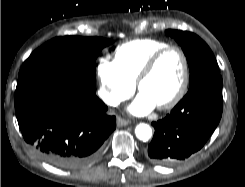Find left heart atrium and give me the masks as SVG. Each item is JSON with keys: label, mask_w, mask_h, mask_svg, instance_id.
Here are the masks:
<instances>
[{"label": "left heart atrium", "mask_w": 245, "mask_h": 187, "mask_svg": "<svg viewBox=\"0 0 245 187\" xmlns=\"http://www.w3.org/2000/svg\"><path fill=\"white\" fill-rule=\"evenodd\" d=\"M155 107V103L146 94L140 92L128 110L134 115L142 116L152 111Z\"/></svg>", "instance_id": "left-heart-atrium-1"}]
</instances>
